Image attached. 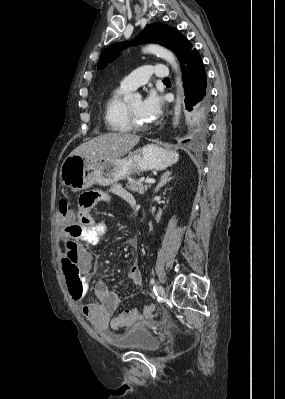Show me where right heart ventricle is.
I'll use <instances>...</instances> for the list:
<instances>
[{
  "instance_id": "obj_1",
  "label": "right heart ventricle",
  "mask_w": 285,
  "mask_h": 399,
  "mask_svg": "<svg viewBox=\"0 0 285 399\" xmlns=\"http://www.w3.org/2000/svg\"><path fill=\"white\" fill-rule=\"evenodd\" d=\"M129 90L118 87L106 99L104 119L109 130L116 133H127L132 130L126 112L124 96Z\"/></svg>"
}]
</instances>
